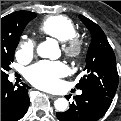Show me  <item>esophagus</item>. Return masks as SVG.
<instances>
[{
  "mask_svg": "<svg viewBox=\"0 0 121 121\" xmlns=\"http://www.w3.org/2000/svg\"><path fill=\"white\" fill-rule=\"evenodd\" d=\"M48 97H49L50 99H52V100H54V99L57 98V96H55V95H51V94H48Z\"/></svg>",
  "mask_w": 121,
  "mask_h": 121,
  "instance_id": "34e87169",
  "label": "esophagus"
}]
</instances>
